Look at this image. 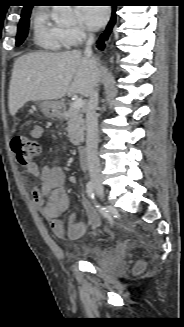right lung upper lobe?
I'll use <instances>...</instances> for the list:
<instances>
[{"label":"right lung upper lobe","instance_id":"cb5924a9","mask_svg":"<svg viewBox=\"0 0 184 327\" xmlns=\"http://www.w3.org/2000/svg\"><path fill=\"white\" fill-rule=\"evenodd\" d=\"M31 9H32V6H30V5H26V6H24L22 13H23V12H26V11H29V10H31Z\"/></svg>","mask_w":184,"mask_h":327}]
</instances>
